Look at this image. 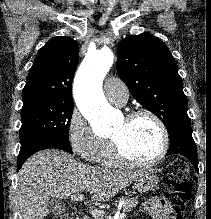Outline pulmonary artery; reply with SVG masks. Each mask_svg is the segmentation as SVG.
Listing matches in <instances>:
<instances>
[{
	"label": "pulmonary artery",
	"mask_w": 211,
	"mask_h": 219,
	"mask_svg": "<svg viewBox=\"0 0 211 219\" xmlns=\"http://www.w3.org/2000/svg\"><path fill=\"white\" fill-rule=\"evenodd\" d=\"M104 92L106 98L115 105L122 106L128 101V89L118 78H108L104 83Z\"/></svg>",
	"instance_id": "e3ab8cb5"
}]
</instances>
